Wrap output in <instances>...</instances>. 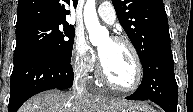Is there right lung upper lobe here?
<instances>
[{
    "label": "right lung upper lobe",
    "instance_id": "obj_1",
    "mask_svg": "<svg viewBox=\"0 0 193 112\" xmlns=\"http://www.w3.org/2000/svg\"><path fill=\"white\" fill-rule=\"evenodd\" d=\"M78 0H19L16 29L37 23H67L68 5L76 7Z\"/></svg>",
    "mask_w": 193,
    "mask_h": 112
}]
</instances>
